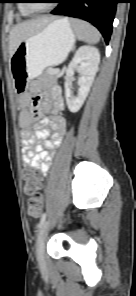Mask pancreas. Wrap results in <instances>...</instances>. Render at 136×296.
<instances>
[{"instance_id":"pancreas-1","label":"pancreas","mask_w":136,"mask_h":296,"mask_svg":"<svg viewBox=\"0 0 136 296\" xmlns=\"http://www.w3.org/2000/svg\"><path fill=\"white\" fill-rule=\"evenodd\" d=\"M53 73H54V69H52V68H48L45 71V75L48 77H52Z\"/></svg>"}]
</instances>
